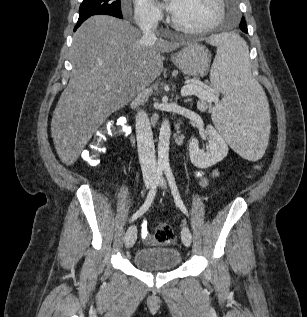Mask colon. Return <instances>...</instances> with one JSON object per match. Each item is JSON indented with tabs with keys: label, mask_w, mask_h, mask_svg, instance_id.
Masks as SVG:
<instances>
[{
	"label": "colon",
	"mask_w": 307,
	"mask_h": 317,
	"mask_svg": "<svg viewBox=\"0 0 307 317\" xmlns=\"http://www.w3.org/2000/svg\"><path fill=\"white\" fill-rule=\"evenodd\" d=\"M126 130L125 122L108 120L99 127L91 136L86 145L83 158L90 165H96L100 157L106 152V142L114 137L123 135ZM262 168V165L255 166L253 172L248 176L252 179ZM155 239L158 243L166 245L173 241V231L165 223H159L155 227Z\"/></svg>",
	"instance_id": "obj_1"
}]
</instances>
